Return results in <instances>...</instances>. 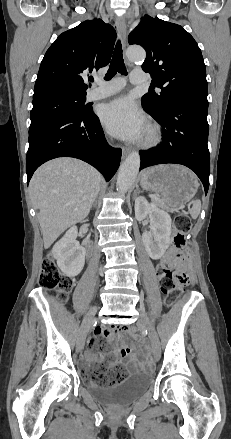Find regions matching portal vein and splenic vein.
<instances>
[{"label": "portal vein and splenic vein", "mask_w": 231, "mask_h": 439, "mask_svg": "<svg viewBox=\"0 0 231 439\" xmlns=\"http://www.w3.org/2000/svg\"><path fill=\"white\" fill-rule=\"evenodd\" d=\"M150 198L153 199V200H158L159 199V197L156 196V195H150Z\"/></svg>", "instance_id": "1"}]
</instances>
